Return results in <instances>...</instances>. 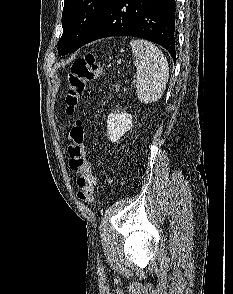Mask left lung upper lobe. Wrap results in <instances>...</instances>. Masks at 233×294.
I'll return each instance as SVG.
<instances>
[{"mask_svg":"<svg viewBox=\"0 0 233 294\" xmlns=\"http://www.w3.org/2000/svg\"><path fill=\"white\" fill-rule=\"evenodd\" d=\"M111 0H65L63 35L58 41L59 54L72 53L85 40L100 20Z\"/></svg>","mask_w":233,"mask_h":294,"instance_id":"left-lung-upper-lobe-1","label":"left lung upper lobe"}]
</instances>
